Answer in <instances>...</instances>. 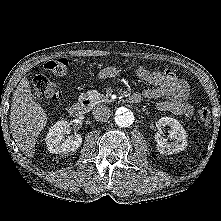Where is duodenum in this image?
<instances>
[{
    "label": "duodenum",
    "instance_id": "duodenum-1",
    "mask_svg": "<svg viewBox=\"0 0 221 221\" xmlns=\"http://www.w3.org/2000/svg\"><path fill=\"white\" fill-rule=\"evenodd\" d=\"M128 100L132 103H137L140 102L141 96L138 93H134L128 97ZM92 102L93 100L90 97H84L80 102H75L69 107V114L75 118L83 116Z\"/></svg>",
    "mask_w": 221,
    "mask_h": 221
}]
</instances>
